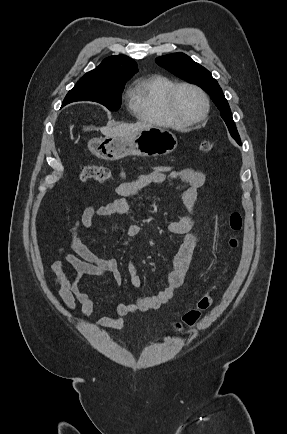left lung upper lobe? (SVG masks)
Here are the masks:
<instances>
[{
  "instance_id": "1",
  "label": "left lung upper lobe",
  "mask_w": 287,
  "mask_h": 434,
  "mask_svg": "<svg viewBox=\"0 0 287 434\" xmlns=\"http://www.w3.org/2000/svg\"><path fill=\"white\" fill-rule=\"evenodd\" d=\"M156 63L175 76L194 83L206 91L220 110L221 117L225 121L231 136L239 144L241 143L231 115L229 104L218 82L212 77L211 73L206 68L194 62L184 53H173L158 57L156 58Z\"/></svg>"
}]
</instances>
